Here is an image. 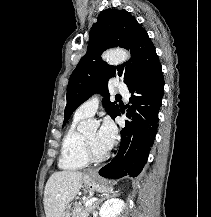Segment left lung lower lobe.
Listing matches in <instances>:
<instances>
[{"mask_svg":"<svg viewBox=\"0 0 211 217\" xmlns=\"http://www.w3.org/2000/svg\"><path fill=\"white\" fill-rule=\"evenodd\" d=\"M128 88L132 93V106H128L126 116L131 120H127L121 130V143L116 157L99 171L105 178L136 177L147 161L155 139L158 112L164 93L161 64Z\"/></svg>","mask_w":211,"mask_h":217,"instance_id":"0a47b994","label":"left lung lower lobe"}]
</instances>
